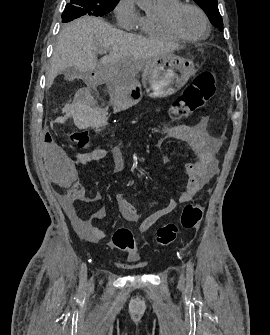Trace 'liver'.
I'll use <instances>...</instances> for the list:
<instances>
[{"label": "liver", "instance_id": "6515ba94", "mask_svg": "<svg viewBox=\"0 0 270 335\" xmlns=\"http://www.w3.org/2000/svg\"><path fill=\"white\" fill-rule=\"evenodd\" d=\"M177 46L158 44L149 38L128 34L112 28L102 18L83 16L62 28L57 46L53 52L51 68L48 74V86L65 68H75L79 72L112 74L125 82H135L146 60L155 56H165ZM100 50L110 52L98 64ZM98 68V70H97Z\"/></svg>", "mask_w": 270, "mask_h": 335}]
</instances>
